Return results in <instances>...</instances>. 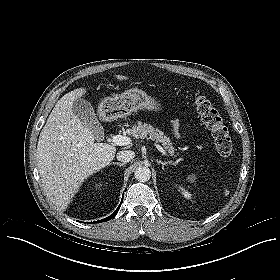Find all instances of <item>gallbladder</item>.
Wrapping results in <instances>:
<instances>
[{
  "label": "gallbladder",
  "mask_w": 280,
  "mask_h": 280,
  "mask_svg": "<svg viewBox=\"0 0 280 280\" xmlns=\"http://www.w3.org/2000/svg\"><path fill=\"white\" fill-rule=\"evenodd\" d=\"M73 114L79 119L83 125L87 126L93 132L97 140L104 137V129L99 122L97 115L91 103L83 98L75 99L72 107Z\"/></svg>",
  "instance_id": "obj_1"
}]
</instances>
